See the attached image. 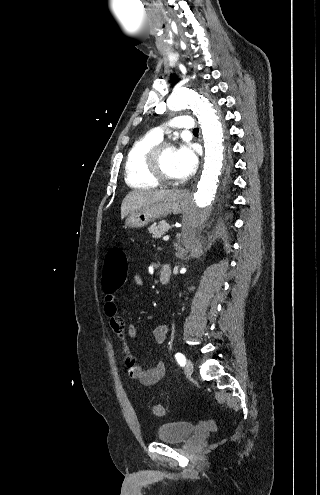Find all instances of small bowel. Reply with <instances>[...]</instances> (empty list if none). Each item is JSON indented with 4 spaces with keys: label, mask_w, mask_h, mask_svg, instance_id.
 <instances>
[{
    "label": "small bowel",
    "mask_w": 320,
    "mask_h": 495,
    "mask_svg": "<svg viewBox=\"0 0 320 495\" xmlns=\"http://www.w3.org/2000/svg\"><path fill=\"white\" fill-rule=\"evenodd\" d=\"M135 282L140 285L141 278L134 277ZM116 291V290H115ZM115 291H105L104 312L109 319L112 330L124 341V366L128 376L137 379L146 386L156 384L165 374L164 363H158L153 368L145 369L136 363L134 355L128 346V340H134L137 337V328L131 323H126L118 314ZM170 331L169 324H161L154 328L153 336L158 344L165 342Z\"/></svg>",
    "instance_id": "c3829d8e"
}]
</instances>
